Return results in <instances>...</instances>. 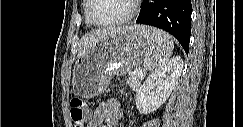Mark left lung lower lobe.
<instances>
[{
  "label": "left lung lower lobe",
  "mask_w": 243,
  "mask_h": 127,
  "mask_svg": "<svg viewBox=\"0 0 243 127\" xmlns=\"http://www.w3.org/2000/svg\"><path fill=\"white\" fill-rule=\"evenodd\" d=\"M191 12V0H143L136 22L169 32L188 54Z\"/></svg>",
  "instance_id": "0a47b994"
}]
</instances>
